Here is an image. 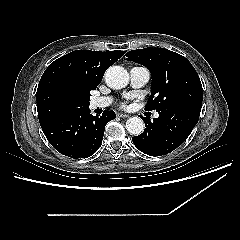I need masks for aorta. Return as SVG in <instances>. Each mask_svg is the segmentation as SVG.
Masks as SVG:
<instances>
[{
    "mask_svg": "<svg viewBox=\"0 0 240 240\" xmlns=\"http://www.w3.org/2000/svg\"><path fill=\"white\" fill-rule=\"evenodd\" d=\"M105 82L112 89H122L129 82V74L121 66H111L105 73ZM125 127L131 135L138 136L144 131L145 125L141 118L134 116L126 121Z\"/></svg>",
    "mask_w": 240,
    "mask_h": 240,
    "instance_id": "762f6f07",
    "label": "aorta"
}]
</instances>
